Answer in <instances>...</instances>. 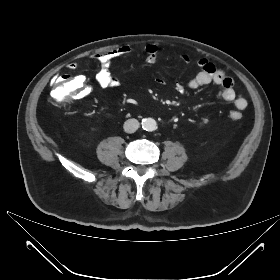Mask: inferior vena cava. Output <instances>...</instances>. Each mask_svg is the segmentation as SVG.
Masks as SVG:
<instances>
[{
    "mask_svg": "<svg viewBox=\"0 0 280 280\" xmlns=\"http://www.w3.org/2000/svg\"><path fill=\"white\" fill-rule=\"evenodd\" d=\"M140 126V123L137 119H128L124 123V131L127 133H134Z\"/></svg>",
    "mask_w": 280,
    "mask_h": 280,
    "instance_id": "1",
    "label": "inferior vena cava"
}]
</instances>
